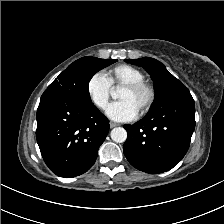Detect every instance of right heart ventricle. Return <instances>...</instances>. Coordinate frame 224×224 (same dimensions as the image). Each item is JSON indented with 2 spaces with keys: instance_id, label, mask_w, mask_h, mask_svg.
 I'll return each instance as SVG.
<instances>
[{
  "instance_id": "e07e8e85",
  "label": "right heart ventricle",
  "mask_w": 224,
  "mask_h": 224,
  "mask_svg": "<svg viewBox=\"0 0 224 224\" xmlns=\"http://www.w3.org/2000/svg\"><path fill=\"white\" fill-rule=\"evenodd\" d=\"M105 75L112 87L144 80L142 71L128 64L116 65L108 69Z\"/></svg>"
}]
</instances>
